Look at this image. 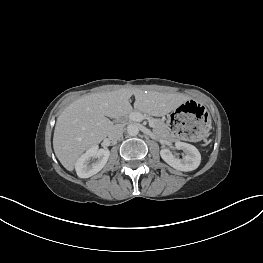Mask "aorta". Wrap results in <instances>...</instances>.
<instances>
[{"mask_svg":"<svg viewBox=\"0 0 263 263\" xmlns=\"http://www.w3.org/2000/svg\"><path fill=\"white\" fill-rule=\"evenodd\" d=\"M127 133L130 136H137L139 133V127L137 124H129L127 126Z\"/></svg>","mask_w":263,"mask_h":263,"instance_id":"aorta-1","label":"aorta"}]
</instances>
